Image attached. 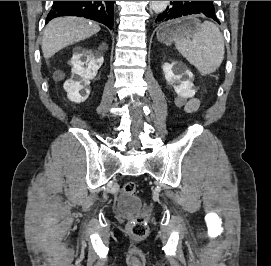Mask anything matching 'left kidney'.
<instances>
[{
  "label": "left kidney",
  "instance_id": "obj_1",
  "mask_svg": "<svg viewBox=\"0 0 271 266\" xmlns=\"http://www.w3.org/2000/svg\"><path fill=\"white\" fill-rule=\"evenodd\" d=\"M163 72L166 81L173 85L178 96L183 98L192 97L193 84L190 81L192 73L189 70H186L183 65L173 62L171 64L165 63L163 66ZM176 82H178L179 85H175Z\"/></svg>",
  "mask_w": 271,
  "mask_h": 266
}]
</instances>
